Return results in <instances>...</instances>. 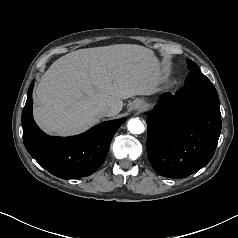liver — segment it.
Masks as SVG:
<instances>
[{
  "mask_svg": "<svg viewBox=\"0 0 238 238\" xmlns=\"http://www.w3.org/2000/svg\"><path fill=\"white\" fill-rule=\"evenodd\" d=\"M152 54L140 45L116 44L62 56L35 90L36 123L49 134L75 135L100 121V108L117 115L122 100L157 93L163 76Z\"/></svg>",
  "mask_w": 238,
  "mask_h": 238,
  "instance_id": "6515ba94",
  "label": "liver"
}]
</instances>
